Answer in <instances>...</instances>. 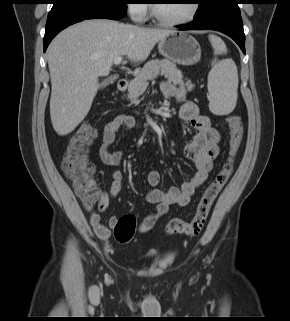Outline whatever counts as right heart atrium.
<instances>
[{
	"instance_id": "obj_1",
	"label": "right heart atrium",
	"mask_w": 290,
	"mask_h": 321,
	"mask_svg": "<svg viewBox=\"0 0 290 321\" xmlns=\"http://www.w3.org/2000/svg\"><path fill=\"white\" fill-rule=\"evenodd\" d=\"M130 18L135 22H142L148 14V6L145 0H130L126 6Z\"/></svg>"
}]
</instances>
